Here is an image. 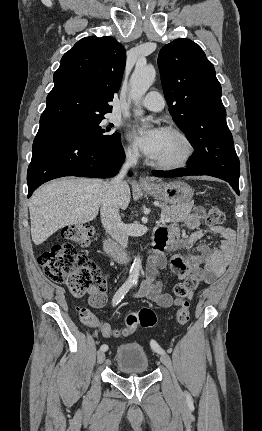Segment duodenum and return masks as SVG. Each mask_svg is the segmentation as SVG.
<instances>
[{"mask_svg":"<svg viewBox=\"0 0 262 431\" xmlns=\"http://www.w3.org/2000/svg\"><path fill=\"white\" fill-rule=\"evenodd\" d=\"M155 241H156V244L158 245L159 238L156 237ZM103 250L107 256L113 258L118 263L123 264V263L130 262L132 260V258L124 251H122L119 245L112 239H105ZM151 255H152V252L149 253L147 257L149 258Z\"/></svg>","mask_w":262,"mask_h":431,"instance_id":"duodenum-1","label":"duodenum"}]
</instances>
